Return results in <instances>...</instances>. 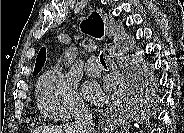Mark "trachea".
Here are the masks:
<instances>
[{"instance_id": "3493384b", "label": "trachea", "mask_w": 184, "mask_h": 133, "mask_svg": "<svg viewBox=\"0 0 184 133\" xmlns=\"http://www.w3.org/2000/svg\"><path fill=\"white\" fill-rule=\"evenodd\" d=\"M100 62H101V64H102L103 67H106V62H105V60H104V55H103V53L100 55Z\"/></svg>"}]
</instances>
